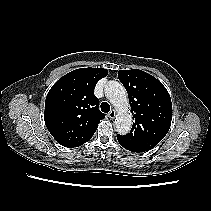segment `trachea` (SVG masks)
<instances>
[{
	"mask_svg": "<svg viewBox=\"0 0 211 211\" xmlns=\"http://www.w3.org/2000/svg\"><path fill=\"white\" fill-rule=\"evenodd\" d=\"M101 111L104 113H108L110 111V105L107 102H103L101 104Z\"/></svg>",
	"mask_w": 211,
	"mask_h": 211,
	"instance_id": "1",
	"label": "trachea"
}]
</instances>
